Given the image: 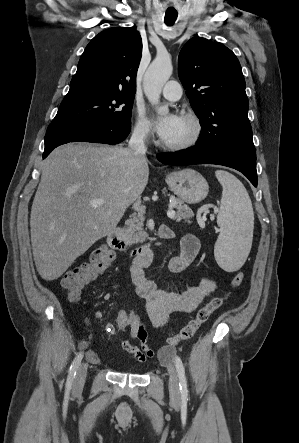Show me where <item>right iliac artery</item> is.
I'll use <instances>...</instances> for the list:
<instances>
[{"label": "right iliac artery", "instance_id": "right-iliac-artery-1", "mask_svg": "<svg viewBox=\"0 0 299 443\" xmlns=\"http://www.w3.org/2000/svg\"><path fill=\"white\" fill-rule=\"evenodd\" d=\"M82 358H83V352H80V353L75 357V359L73 360V362H72V364H71V366H70L69 374H68L67 382H66V387H67L68 389H70L71 386H72V383H73L74 377H75L76 372H77V369H78V367H79V365H80V363H81V361H82Z\"/></svg>", "mask_w": 299, "mask_h": 443}]
</instances>
